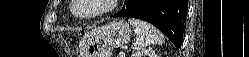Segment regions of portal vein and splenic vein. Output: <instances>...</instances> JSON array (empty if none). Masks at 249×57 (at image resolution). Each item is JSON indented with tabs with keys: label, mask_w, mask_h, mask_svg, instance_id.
I'll return each instance as SVG.
<instances>
[{
	"label": "portal vein and splenic vein",
	"mask_w": 249,
	"mask_h": 57,
	"mask_svg": "<svg viewBox=\"0 0 249 57\" xmlns=\"http://www.w3.org/2000/svg\"><path fill=\"white\" fill-rule=\"evenodd\" d=\"M119 56H120V57H125V53L120 52V53H119Z\"/></svg>",
	"instance_id": "18ae733b"
}]
</instances>
